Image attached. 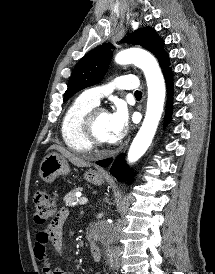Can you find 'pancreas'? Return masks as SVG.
I'll return each mask as SVG.
<instances>
[{"label": "pancreas", "instance_id": "1", "mask_svg": "<svg viewBox=\"0 0 215 274\" xmlns=\"http://www.w3.org/2000/svg\"><path fill=\"white\" fill-rule=\"evenodd\" d=\"M81 190H82L81 188H76V189H74L73 191L69 192V193L64 197V201H65L66 206L72 207V206L74 205V202L76 201V196H75V194H76L78 191H81Z\"/></svg>", "mask_w": 215, "mask_h": 274}]
</instances>
